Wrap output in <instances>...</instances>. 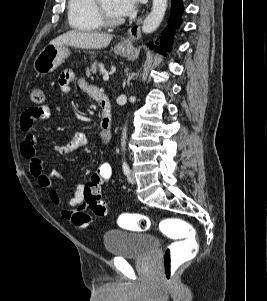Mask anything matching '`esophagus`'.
<instances>
[{"label": "esophagus", "mask_w": 267, "mask_h": 301, "mask_svg": "<svg viewBox=\"0 0 267 301\" xmlns=\"http://www.w3.org/2000/svg\"><path fill=\"white\" fill-rule=\"evenodd\" d=\"M142 17H140L137 22L128 30L127 37L120 43L123 47L131 46L132 43L139 39L141 36Z\"/></svg>", "instance_id": "obj_1"}]
</instances>
